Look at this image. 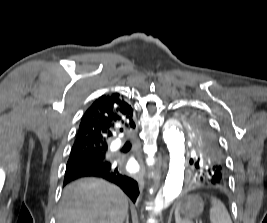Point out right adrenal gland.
Segmentation results:
<instances>
[{
	"label": "right adrenal gland",
	"instance_id": "right-adrenal-gland-1",
	"mask_svg": "<svg viewBox=\"0 0 267 223\" xmlns=\"http://www.w3.org/2000/svg\"><path fill=\"white\" fill-rule=\"evenodd\" d=\"M125 223H129V215L126 216V222Z\"/></svg>",
	"mask_w": 267,
	"mask_h": 223
}]
</instances>
